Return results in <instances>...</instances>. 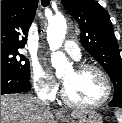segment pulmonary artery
<instances>
[{"label": "pulmonary artery", "instance_id": "pulmonary-artery-1", "mask_svg": "<svg viewBox=\"0 0 122 123\" xmlns=\"http://www.w3.org/2000/svg\"><path fill=\"white\" fill-rule=\"evenodd\" d=\"M64 49L73 59L79 60L81 58V50L74 41H65Z\"/></svg>", "mask_w": 122, "mask_h": 123}]
</instances>
